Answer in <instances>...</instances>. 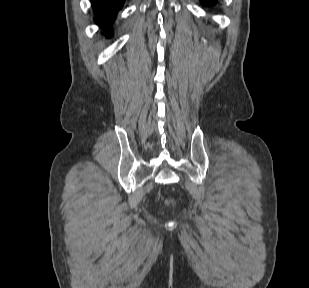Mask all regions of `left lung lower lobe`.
<instances>
[{
    "mask_svg": "<svg viewBox=\"0 0 309 288\" xmlns=\"http://www.w3.org/2000/svg\"><path fill=\"white\" fill-rule=\"evenodd\" d=\"M201 2L206 6H211L214 5L217 2V0H201Z\"/></svg>",
    "mask_w": 309,
    "mask_h": 288,
    "instance_id": "obj_1",
    "label": "left lung lower lobe"
}]
</instances>
